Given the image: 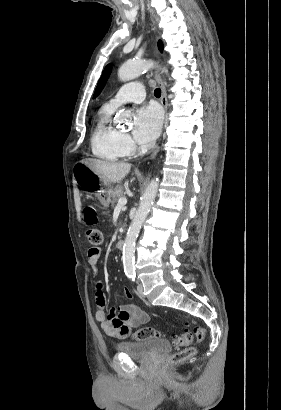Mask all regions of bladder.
Returning <instances> with one entry per match:
<instances>
[{"instance_id":"1","label":"bladder","mask_w":281,"mask_h":410,"mask_svg":"<svg viewBox=\"0 0 281 410\" xmlns=\"http://www.w3.org/2000/svg\"><path fill=\"white\" fill-rule=\"evenodd\" d=\"M118 353L133 358L148 359L171 349L170 343L163 339H146L137 342H121L116 344Z\"/></svg>"}]
</instances>
